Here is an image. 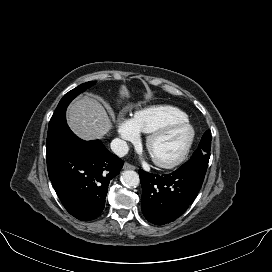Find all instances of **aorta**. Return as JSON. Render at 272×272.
Returning <instances> with one entry per match:
<instances>
[{"instance_id": "762f6f07", "label": "aorta", "mask_w": 272, "mask_h": 272, "mask_svg": "<svg viewBox=\"0 0 272 272\" xmlns=\"http://www.w3.org/2000/svg\"><path fill=\"white\" fill-rule=\"evenodd\" d=\"M121 182L126 187H137L140 183L139 175L133 170H126L121 175Z\"/></svg>"}]
</instances>
